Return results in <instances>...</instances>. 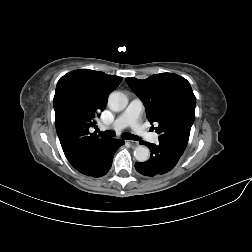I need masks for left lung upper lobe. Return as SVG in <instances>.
<instances>
[{
  "instance_id": "left-lung-upper-lobe-1",
  "label": "left lung upper lobe",
  "mask_w": 252,
  "mask_h": 252,
  "mask_svg": "<svg viewBox=\"0 0 252 252\" xmlns=\"http://www.w3.org/2000/svg\"><path fill=\"white\" fill-rule=\"evenodd\" d=\"M130 88L143 101L146 115L159 134L186 148L195 119L196 97L189 82L173 73H160L140 80L126 78Z\"/></svg>"
}]
</instances>
